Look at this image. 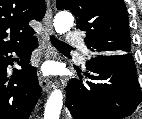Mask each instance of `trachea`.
Wrapping results in <instances>:
<instances>
[{
	"mask_svg": "<svg viewBox=\"0 0 142 119\" xmlns=\"http://www.w3.org/2000/svg\"><path fill=\"white\" fill-rule=\"evenodd\" d=\"M50 40L52 42V44L56 47V48H66V49H71L72 47L60 40H58L56 37H54L53 35L50 36Z\"/></svg>",
	"mask_w": 142,
	"mask_h": 119,
	"instance_id": "3493384b",
	"label": "trachea"
}]
</instances>
